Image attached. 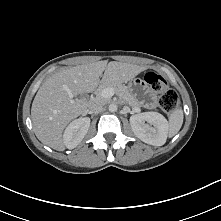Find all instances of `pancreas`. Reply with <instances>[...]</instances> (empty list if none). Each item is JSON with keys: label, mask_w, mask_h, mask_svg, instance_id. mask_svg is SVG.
Masks as SVG:
<instances>
[{"label": "pancreas", "mask_w": 221, "mask_h": 221, "mask_svg": "<svg viewBox=\"0 0 221 221\" xmlns=\"http://www.w3.org/2000/svg\"><path fill=\"white\" fill-rule=\"evenodd\" d=\"M106 88H112L126 103H128L132 107L139 104L137 99L130 93L128 88H126L122 84H111V85L101 84L95 92L96 93L95 103L104 105L109 101L108 98L102 96V92Z\"/></svg>", "instance_id": "cf45deb5"}]
</instances>
